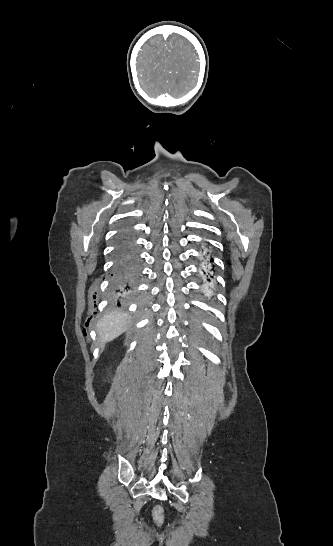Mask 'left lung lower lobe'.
I'll use <instances>...</instances> for the list:
<instances>
[{
    "instance_id": "left-lung-lower-lobe-1",
    "label": "left lung lower lobe",
    "mask_w": 333,
    "mask_h": 546,
    "mask_svg": "<svg viewBox=\"0 0 333 546\" xmlns=\"http://www.w3.org/2000/svg\"><path fill=\"white\" fill-rule=\"evenodd\" d=\"M212 262H213V259H211L210 261H208V264H209V263H212ZM210 271H211V270H210ZM202 272H203V274L207 277V278H206L207 283H208V284H209V283L212 284L213 279H214L213 275L207 272V268H206V267L202 270Z\"/></svg>"
}]
</instances>
